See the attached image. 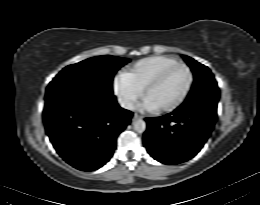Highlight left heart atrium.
<instances>
[{"label":"left heart atrium","instance_id":"39dd6f15","mask_svg":"<svg viewBox=\"0 0 260 205\" xmlns=\"http://www.w3.org/2000/svg\"><path fill=\"white\" fill-rule=\"evenodd\" d=\"M140 110H155L157 107L148 99H145L138 107Z\"/></svg>","mask_w":260,"mask_h":205}]
</instances>
